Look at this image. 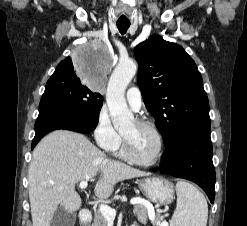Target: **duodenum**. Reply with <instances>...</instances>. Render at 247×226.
I'll return each mask as SVG.
<instances>
[{"label":"duodenum","mask_w":247,"mask_h":226,"mask_svg":"<svg viewBox=\"0 0 247 226\" xmlns=\"http://www.w3.org/2000/svg\"><path fill=\"white\" fill-rule=\"evenodd\" d=\"M80 220L83 223V225H86L89 223V221L91 220V213L89 210L87 209H83L80 212Z\"/></svg>","instance_id":"410a0bca"}]
</instances>
